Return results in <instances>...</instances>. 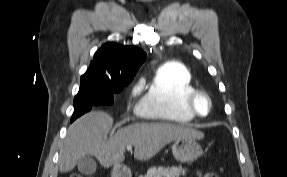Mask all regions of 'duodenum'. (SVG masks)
I'll list each match as a JSON object with an SVG mask.
<instances>
[{
	"label": "duodenum",
	"instance_id": "410a0bca",
	"mask_svg": "<svg viewBox=\"0 0 287 177\" xmlns=\"http://www.w3.org/2000/svg\"><path fill=\"white\" fill-rule=\"evenodd\" d=\"M113 177H130V174L125 166H119L113 169Z\"/></svg>",
	"mask_w": 287,
	"mask_h": 177
}]
</instances>
